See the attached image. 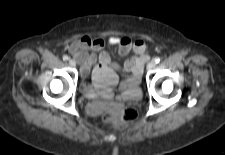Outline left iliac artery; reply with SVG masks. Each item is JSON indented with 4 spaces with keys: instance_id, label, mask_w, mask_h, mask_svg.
Returning a JSON list of instances; mask_svg holds the SVG:
<instances>
[{
    "instance_id": "44dca946",
    "label": "left iliac artery",
    "mask_w": 225,
    "mask_h": 155,
    "mask_svg": "<svg viewBox=\"0 0 225 155\" xmlns=\"http://www.w3.org/2000/svg\"><path fill=\"white\" fill-rule=\"evenodd\" d=\"M154 61H155V63L157 64V63H159V62H160V58H159V57H157V58H155V59H154Z\"/></svg>"
}]
</instances>
